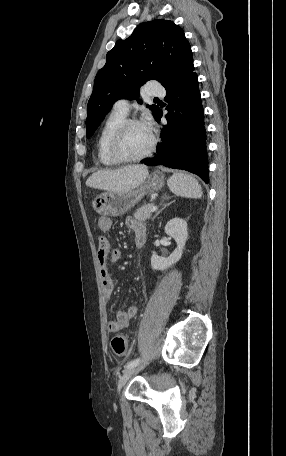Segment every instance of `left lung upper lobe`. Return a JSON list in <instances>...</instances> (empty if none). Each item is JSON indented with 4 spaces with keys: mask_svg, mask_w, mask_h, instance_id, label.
<instances>
[{
    "mask_svg": "<svg viewBox=\"0 0 286 456\" xmlns=\"http://www.w3.org/2000/svg\"><path fill=\"white\" fill-rule=\"evenodd\" d=\"M191 60V46L183 29L173 21L156 19L138 25L128 38L116 42L96 75L88 102L87 138L115 101L137 99L140 86L148 80L155 79L165 87ZM147 107L157 116L158 106Z\"/></svg>",
    "mask_w": 286,
    "mask_h": 456,
    "instance_id": "obj_1",
    "label": "left lung upper lobe"
}]
</instances>
